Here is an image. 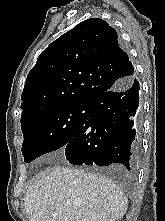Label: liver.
I'll return each instance as SVG.
<instances>
[{
	"label": "liver",
	"instance_id": "1",
	"mask_svg": "<svg viewBox=\"0 0 165 221\" xmlns=\"http://www.w3.org/2000/svg\"><path fill=\"white\" fill-rule=\"evenodd\" d=\"M24 207L30 221H116L128 200L105 176L57 166L36 175Z\"/></svg>",
	"mask_w": 165,
	"mask_h": 221
}]
</instances>
